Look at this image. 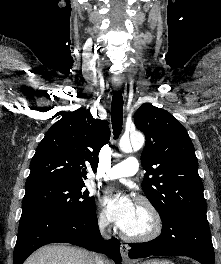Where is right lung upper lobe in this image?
<instances>
[{
	"label": "right lung upper lobe",
	"instance_id": "obj_1",
	"mask_svg": "<svg viewBox=\"0 0 221 264\" xmlns=\"http://www.w3.org/2000/svg\"><path fill=\"white\" fill-rule=\"evenodd\" d=\"M109 139L108 122L95 120L89 109L66 113L38 145L25 189L58 182L84 184L87 168L96 171L100 149Z\"/></svg>",
	"mask_w": 221,
	"mask_h": 264
}]
</instances>
